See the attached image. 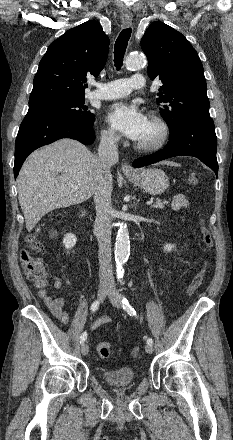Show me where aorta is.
Instances as JSON below:
<instances>
[{"instance_id": "1", "label": "aorta", "mask_w": 233, "mask_h": 440, "mask_svg": "<svg viewBox=\"0 0 233 440\" xmlns=\"http://www.w3.org/2000/svg\"><path fill=\"white\" fill-rule=\"evenodd\" d=\"M145 64V58L141 54L129 55L126 59L125 66L128 70L139 69ZM115 262H116V272L118 277L123 276V265L127 261L130 255V241H129V231L126 223L120 224V228L117 232L116 243H115Z\"/></svg>"}]
</instances>
